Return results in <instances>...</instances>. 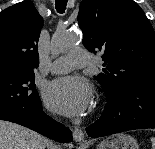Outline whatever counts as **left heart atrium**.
<instances>
[{"label": "left heart atrium", "instance_id": "1", "mask_svg": "<svg viewBox=\"0 0 155 149\" xmlns=\"http://www.w3.org/2000/svg\"><path fill=\"white\" fill-rule=\"evenodd\" d=\"M44 101L51 111L74 117L89 110L93 103V93L87 80L77 76H65L46 86Z\"/></svg>", "mask_w": 155, "mask_h": 149}]
</instances>
